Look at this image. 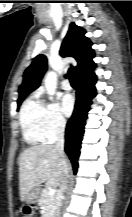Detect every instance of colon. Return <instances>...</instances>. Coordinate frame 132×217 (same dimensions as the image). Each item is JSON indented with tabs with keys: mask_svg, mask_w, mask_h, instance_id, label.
<instances>
[{
	"mask_svg": "<svg viewBox=\"0 0 132 217\" xmlns=\"http://www.w3.org/2000/svg\"><path fill=\"white\" fill-rule=\"evenodd\" d=\"M21 217H34L31 207L24 208Z\"/></svg>",
	"mask_w": 132,
	"mask_h": 217,
	"instance_id": "colon-1",
	"label": "colon"
}]
</instances>
